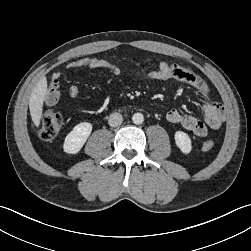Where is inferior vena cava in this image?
<instances>
[{
    "instance_id": "obj_1",
    "label": "inferior vena cava",
    "mask_w": 251,
    "mask_h": 251,
    "mask_svg": "<svg viewBox=\"0 0 251 251\" xmlns=\"http://www.w3.org/2000/svg\"><path fill=\"white\" fill-rule=\"evenodd\" d=\"M123 122V117L120 113H113L109 116L108 123L111 127H117Z\"/></svg>"
}]
</instances>
